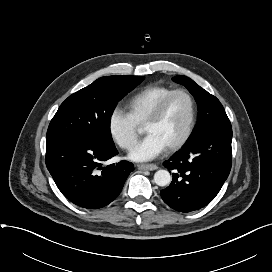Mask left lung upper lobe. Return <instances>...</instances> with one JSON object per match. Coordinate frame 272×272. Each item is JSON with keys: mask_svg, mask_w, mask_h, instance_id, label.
<instances>
[{"mask_svg": "<svg viewBox=\"0 0 272 272\" xmlns=\"http://www.w3.org/2000/svg\"><path fill=\"white\" fill-rule=\"evenodd\" d=\"M172 80L184 85L198 104V121L187 142L211 131L231 128L226 112L215 96L186 76H175Z\"/></svg>", "mask_w": 272, "mask_h": 272, "instance_id": "5c2ea615", "label": "left lung upper lobe"}]
</instances>
